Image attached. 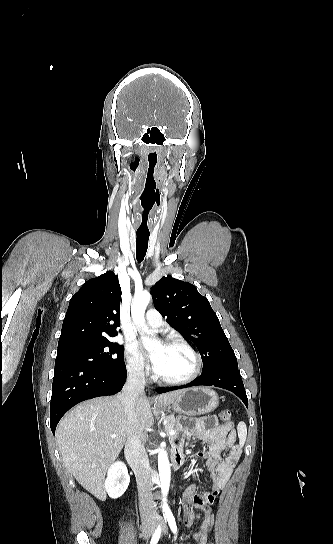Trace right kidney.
Masks as SVG:
<instances>
[{
	"instance_id": "right-kidney-1",
	"label": "right kidney",
	"mask_w": 333,
	"mask_h": 544,
	"mask_svg": "<svg viewBox=\"0 0 333 544\" xmlns=\"http://www.w3.org/2000/svg\"><path fill=\"white\" fill-rule=\"evenodd\" d=\"M130 482L127 467L122 461H116L108 469L105 489L108 495L116 499L123 495Z\"/></svg>"
}]
</instances>
